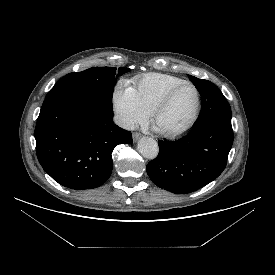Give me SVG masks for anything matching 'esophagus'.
I'll use <instances>...</instances> for the list:
<instances>
[{"label":"esophagus","mask_w":275,"mask_h":275,"mask_svg":"<svg viewBox=\"0 0 275 275\" xmlns=\"http://www.w3.org/2000/svg\"><path fill=\"white\" fill-rule=\"evenodd\" d=\"M132 137H133V141L136 142V141H138V139H140L141 134L138 132H135V133H133Z\"/></svg>","instance_id":"esophagus-1"}]
</instances>
